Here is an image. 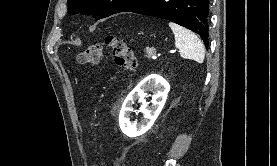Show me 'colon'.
Wrapping results in <instances>:
<instances>
[{"instance_id": "colon-1", "label": "colon", "mask_w": 277, "mask_h": 166, "mask_svg": "<svg viewBox=\"0 0 277 166\" xmlns=\"http://www.w3.org/2000/svg\"><path fill=\"white\" fill-rule=\"evenodd\" d=\"M104 47H107L116 64L128 71H134L137 68V58L133 49L121 38L115 35H108L104 44H93L82 50L77 56V63L80 65H95L99 63L104 56ZM94 128L98 125L94 124Z\"/></svg>"}]
</instances>
